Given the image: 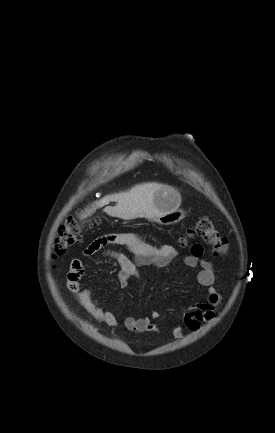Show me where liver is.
<instances>
[{"label":"liver","mask_w":275,"mask_h":433,"mask_svg":"<svg viewBox=\"0 0 275 433\" xmlns=\"http://www.w3.org/2000/svg\"><path fill=\"white\" fill-rule=\"evenodd\" d=\"M163 185L158 183H143L132 187L126 192L115 193L103 197L94 204L92 209L86 210L87 216L94 209L108 205L111 201L116 202V206H106L104 212L109 216L118 217L124 220L135 218L153 219L159 215L154 205V194Z\"/></svg>","instance_id":"6515ba94"}]
</instances>
